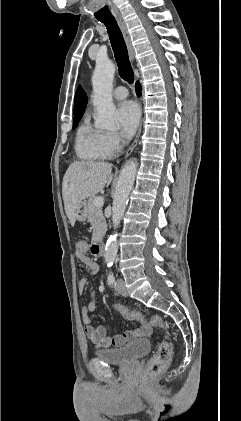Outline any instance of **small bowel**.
<instances>
[{
	"instance_id": "1",
	"label": "small bowel",
	"mask_w": 241,
	"mask_h": 421,
	"mask_svg": "<svg viewBox=\"0 0 241 421\" xmlns=\"http://www.w3.org/2000/svg\"><path fill=\"white\" fill-rule=\"evenodd\" d=\"M77 259L83 268L90 274L95 275L98 272V264L88 255H80L77 253ZM88 281L86 278H81L78 281L77 287L79 293H83L87 289ZM95 290L90 289V300L82 306L81 317L84 324V329L87 337L91 343L98 348L120 347L125 343L137 338L147 336L151 333L152 328L149 324H143L133 330H127L122 334L110 336L105 326H94L91 320V313L97 309L95 301Z\"/></svg>"
}]
</instances>
